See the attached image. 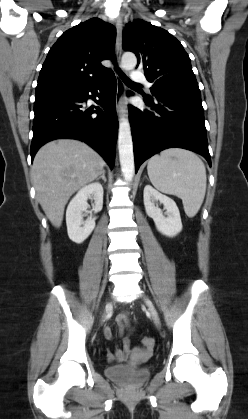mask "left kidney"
<instances>
[{
	"mask_svg": "<svg viewBox=\"0 0 248 419\" xmlns=\"http://www.w3.org/2000/svg\"><path fill=\"white\" fill-rule=\"evenodd\" d=\"M144 206L147 215L154 220L157 230L165 236L174 237L182 230V222L179 209L171 198L161 194L151 185L144 188ZM159 201L164 205V216L160 208L155 205Z\"/></svg>",
	"mask_w": 248,
	"mask_h": 419,
	"instance_id": "left-kidney-1",
	"label": "left kidney"
}]
</instances>
